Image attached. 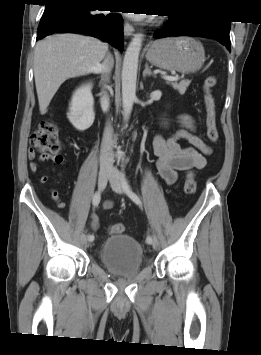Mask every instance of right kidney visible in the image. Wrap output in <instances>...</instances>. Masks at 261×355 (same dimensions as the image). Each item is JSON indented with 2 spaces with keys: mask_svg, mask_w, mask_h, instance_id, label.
I'll return each instance as SVG.
<instances>
[{
  "mask_svg": "<svg viewBox=\"0 0 261 355\" xmlns=\"http://www.w3.org/2000/svg\"><path fill=\"white\" fill-rule=\"evenodd\" d=\"M92 84L88 83L78 88L72 95L67 117L70 123L79 131L88 129L94 122V98Z\"/></svg>",
  "mask_w": 261,
  "mask_h": 355,
  "instance_id": "ca27d5eb",
  "label": "right kidney"
}]
</instances>
